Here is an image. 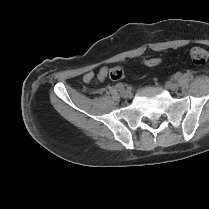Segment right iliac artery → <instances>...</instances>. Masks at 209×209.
Here are the masks:
<instances>
[{
    "label": "right iliac artery",
    "instance_id": "right-iliac-artery-1",
    "mask_svg": "<svg viewBox=\"0 0 209 209\" xmlns=\"http://www.w3.org/2000/svg\"><path fill=\"white\" fill-rule=\"evenodd\" d=\"M124 87H125V85L122 84V83H118V84L116 85V89H117L118 91L124 89Z\"/></svg>",
    "mask_w": 209,
    "mask_h": 209
}]
</instances>
